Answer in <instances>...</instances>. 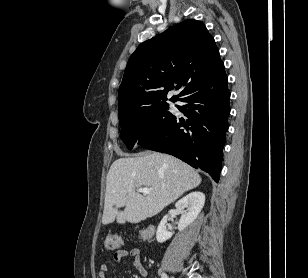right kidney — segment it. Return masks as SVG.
<instances>
[{"label": "right kidney", "mask_w": 308, "mask_h": 278, "mask_svg": "<svg viewBox=\"0 0 308 278\" xmlns=\"http://www.w3.org/2000/svg\"><path fill=\"white\" fill-rule=\"evenodd\" d=\"M205 203V195L202 192H192L180 199L175 207L182 213L178 223V230L183 231L198 217ZM187 208V211L184 209ZM168 215L164 216L158 225L156 239L159 243L170 239L172 233L167 230Z\"/></svg>", "instance_id": "obj_1"}]
</instances>
